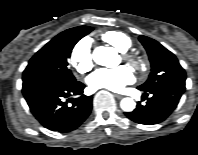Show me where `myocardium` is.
I'll list each match as a JSON object with an SVG mask.
<instances>
[{
	"label": "myocardium",
	"instance_id": "myocardium-1",
	"mask_svg": "<svg viewBox=\"0 0 198 155\" xmlns=\"http://www.w3.org/2000/svg\"><path fill=\"white\" fill-rule=\"evenodd\" d=\"M123 56L126 60L130 62V64L135 67L136 69H142L144 66L143 59L138 56L137 54L130 53V52H123Z\"/></svg>",
	"mask_w": 198,
	"mask_h": 155
}]
</instances>
